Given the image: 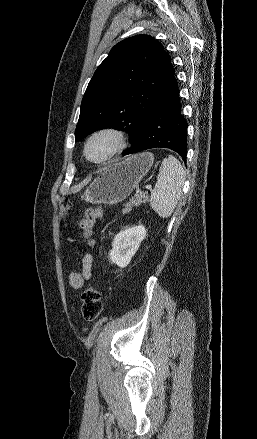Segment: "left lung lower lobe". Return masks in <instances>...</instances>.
<instances>
[{"mask_svg": "<svg viewBox=\"0 0 257 439\" xmlns=\"http://www.w3.org/2000/svg\"><path fill=\"white\" fill-rule=\"evenodd\" d=\"M150 148H169L186 162L187 122L181 115L174 76L146 112L139 127L138 143L125 155Z\"/></svg>", "mask_w": 257, "mask_h": 439, "instance_id": "left-lung-lower-lobe-1", "label": "left lung lower lobe"}]
</instances>
